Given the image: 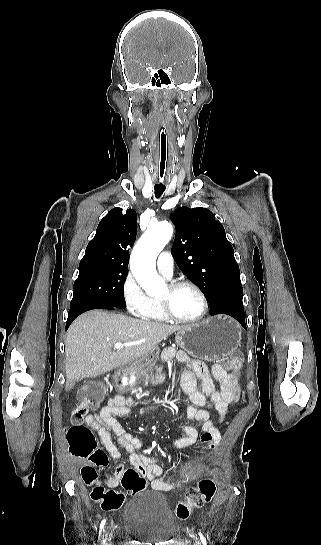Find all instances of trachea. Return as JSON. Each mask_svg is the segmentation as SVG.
<instances>
[{"mask_svg": "<svg viewBox=\"0 0 321 545\" xmlns=\"http://www.w3.org/2000/svg\"><path fill=\"white\" fill-rule=\"evenodd\" d=\"M159 138H160L159 143H160L161 149L158 155L159 162H158V167L156 170L158 175L155 176L154 183H153L155 196L157 198H159L165 190L164 175L166 174V171H167L166 167H167L168 156H169L166 149L167 132L164 128L161 130Z\"/></svg>", "mask_w": 321, "mask_h": 545, "instance_id": "trachea-1", "label": "trachea"}]
</instances>
